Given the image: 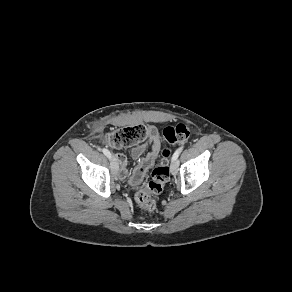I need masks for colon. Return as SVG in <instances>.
Here are the masks:
<instances>
[{
	"label": "colon",
	"instance_id": "1",
	"mask_svg": "<svg viewBox=\"0 0 292 292\" xmlns=\"http://www.w3.org/2000/svg\"><path fill=\"white\" fill-rule=\"evenodd\" d=\"M148 136V128L143 124L128 126L111 131L106 134L105 142L113 147L129 146L144 140ZM189 137V129L185 124L168 126L162 131V139L166 144H176L186 141ZM170 149L164 147L157 166L151 173V180L146 186L135 193L136 203L148 211L155 210L157 202L155 195L162 192L165 183L169 179Z\"/></svg>",
	"mask_w": 292,
	"mask_h": 292
}]
</instances>
